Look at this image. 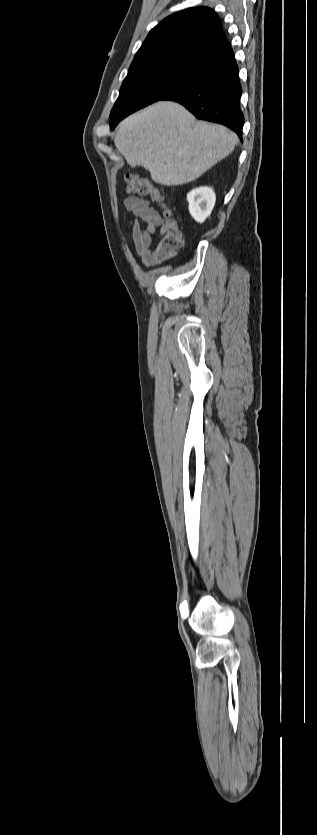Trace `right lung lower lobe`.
<instances>
[{
  "label": "right lung lower lobe",
  "mask_w": 317,
  "mask_h": 835,
  "mask_svg": "<svg viewBox=\"0 0 317 835\" xmlns=\"http://www.w3.org/2000/svg\"><path fill=\"white\" fill-rule=\"evenodd\" d=\"M190 58L198 63L206 78L173 92L163 100L182 104L198 119L227 126L242 140V88L231 46L226 44Z\"/></svg>",
  "instance_id": "98d812e1"
}]
</instances>
